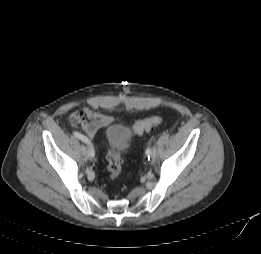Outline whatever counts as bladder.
Instances as JSON below:
<instances>
[{
  "label": "bladder",
  "instance_id": "bladder-1",
  "mask_svg": "<svg viewBox=\"0 0 261 254\" xmlns=\"http://www.w3.org/2000/svg\"><path fill=\"white\" fill-rule=\"evenodd\" d=\"M107 144L119 152L128 148L132 142V135L123 124H113L106 131Z\"/></svg>",
  "mask_w": 261,
  "mask_h": 254
}]
</instances>
